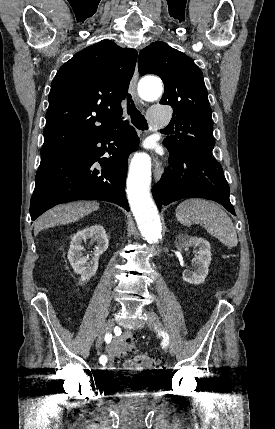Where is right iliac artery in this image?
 <instances>
[{
  "mask_svg": "<svg viewBox=\"0 0 275 429\" xmlns=\"http://www.w3.org/2000/svg\"><path fill=\"white\" fill-rule=\"evenodd\" d=\"M111 340H112V335H111L110 333H107V334L105 335V341H106V343H110V342H111ZM99 362H100L102 365H105V364H106V362H107V357H106L105 355H102V356L99 358Z\"/></svg>",
  "mask_w": 275,
  "mask_h": 429,
  "instance_id": "obj_1",
  "label": "right iliac artery"
}]
</instances>
